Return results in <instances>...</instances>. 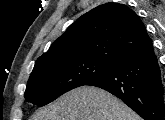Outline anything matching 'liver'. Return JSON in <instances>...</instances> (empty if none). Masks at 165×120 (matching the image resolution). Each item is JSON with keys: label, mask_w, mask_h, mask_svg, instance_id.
<instances>
[{"label": "liver", "mask_w": 165, "mask_h": 120, "mask_svg": "<svg viewBox=\"0 0 165 120\" xmlns=\"http://www.w3.org/2000/svg\"><path fill=\"white\" fill-rule=\"evenodd\" d=\"M32 120H141V117L107 91L82 86L39 110Z\"/></svg>", "instance_id": "liver-1"}]
</instances>
